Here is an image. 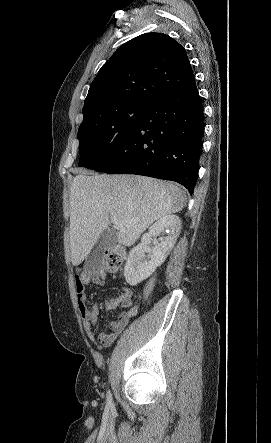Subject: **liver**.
<instances>
[{"mask_svg":"<svg viewBox=\"0 0 271 443\" xmlns=\"http://www.w3.org/2000/svg\"><path fill=\"white\" fill-rule=\"evenodd\" d=\"M70 251L79 265L97 243L99 235L117 220V241L133 245L146 227L166 214L180 212L185 194L177 184L145 176H75L70 190Z\"/></svg>","mask_w":271,"mask_h":443,"instance_id":"1","label":"liver"}]
</instances>
